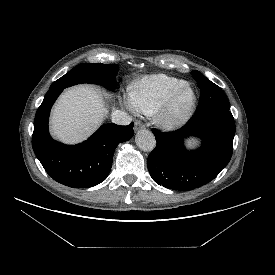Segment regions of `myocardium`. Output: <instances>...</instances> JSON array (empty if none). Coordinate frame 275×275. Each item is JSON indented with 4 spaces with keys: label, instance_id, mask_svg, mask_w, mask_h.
<instances>
[{
    "label": "myocardium",
    "instance_id": "1",
    "mask_svg": "<svg viewBox=\"0 0 275 275\" xmlns=\"http://www.w3.org/2000/svg\"><path fill=\"white\" fill-rule=\"evenodd\" d=\"M191 94L189 103L182 111H177V101L183 91ZM197 105V94L194 88L185 83L176 88L160 105L155 114L156 123L164 130L174 131L184 127L192 119Z\"/></svg>",
    "mask_w": 275,
    "mask_h": 275
}]
</instances>
